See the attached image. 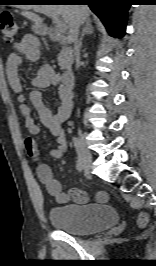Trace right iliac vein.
Instances as JSON below:
<instances>
[{
	"label": "right iliac vein",
	"instance_id": "63e3f726",
	"mask_svg": "<svg viewBox=\"0 0 156 266\" xmlns=\"http://www.w3.org/2000/svg\"><path fill=\"white\" fill-rule=\"evenodd\" d=\"M79 143H80V156L81 160L83 162V165L87 171L91 169V164H92V155L90 151L87 149L85 145V139L84 136L79 133Z\"/></svg>",
	"mask_w": 156,
	"mask_h": 266
}]
</instances>
